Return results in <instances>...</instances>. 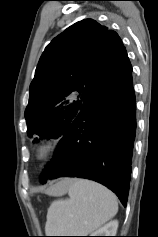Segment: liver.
I'll list each match as a JSON object with an SVG mask.
<instances>
[{
    "mask_svg": "<svg viewBox=\"0 0 158 237\" xmlns=\"http://www.w3.org/2000/svg\"><path fill=\"white\" fill-rule=\"evenodd\" d=\"M71 182H72V180L61 181L57 185L52 187L51 189H48L46 192L49 193V194H60V193H63L62 190H61L62 186L64 184H70Z\"/></svg>",
    "mask_w": 158,
    "mask_h": 237,
    "instance_id": "obj_1",
    "label": "liver"
}]
</instances>
